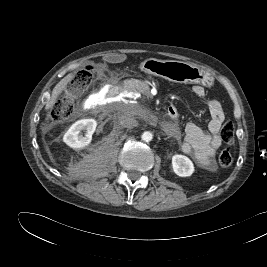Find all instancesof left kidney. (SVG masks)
<instances>
[{
	"label": "left kidney",
	"instance_id": "1",
	"mask_svg": "<svg viewBox=\"0 0 267 267\" xmlns=\"http://www.w3.org/2000/svg\"><path fill=\"white\" fill-rule=\"evenodd\" d=\"M172 168L174 173L180 177L191 176L195 171L192 161L187 156L180 154L172 157Z\"/></svg>",
	"mask_w": 267,
	"mask_h": 267
}]
</instances>
